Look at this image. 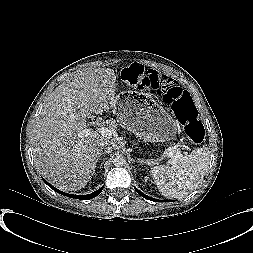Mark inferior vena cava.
Wrapping results in <instances>:
<instances>
[{
	"label": "inferior vena cava",
	"mask_w": 253,
	"mask_h": 253,
	"mask_svg": "<svg viewBox=\"0 0 253 253\" xmlns=\"http://www.w3.org/2000/svg\"><path fill=\"white\" fill-rule=\"evenodd\" d=\"M104 149H106L105 151H108V152H110L111 153V147L109 146V145H107V146H105V148Z\"/></svg>",
	"instance_id": "inferior-vena-cava-1"
}]
</instances>
